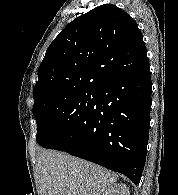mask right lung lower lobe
I'll return each mask as SVG.
<instances>
[{
	"instance_id": "1",
	"label": "right lung lower lobe",
	"mask_w": 178,
	"mask_h": 195,
	"mask_svg": "<svg viewBox=\"0 0 178 195\" xmlns=\"http://www.w3.org/2000/svg\"><path fill=\"white\" fill-rule=\"evenodd\" d=\"M149 62L97 90L84 118L54 148L140 182L149 138Z\"/></svg>"
}]
</instances>
